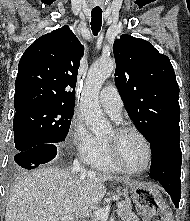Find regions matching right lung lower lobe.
I'll return each mask as SVG.
<instances>
[{
  "instance_id": "98d812e1",
  "label": "right lung lower lobe",
  "mask_w": 190,
  "mask_h": 221,
  "mask_svg": "<svg viewBox=\"0 0 190 221\" xmlns=\"http://www.w3.org/2000/svg\"><path fill=\"white\" fill-rule=\"evenodd\" d=\"M57 154L55 143H45L37 145L29 150L15 155L17 164L26 169L38 167L40 163L51 161Z\"/></svg>"
}]
</instances>
